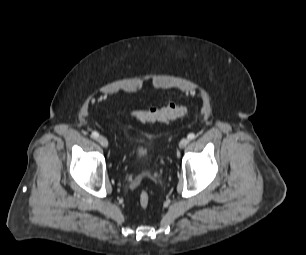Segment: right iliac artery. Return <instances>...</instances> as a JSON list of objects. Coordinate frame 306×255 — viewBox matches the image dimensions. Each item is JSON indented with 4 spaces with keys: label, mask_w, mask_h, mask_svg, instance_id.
<instances>
[{
    "label": "right iliac artery",
    "mask_w": 306,
    "mask_h": 255,
    "mask_svg": "<svg viewBox=\"0 0 306 255\" xmlns=\"http://www.w3.org/2000/svg\"><path fill=\"white\" fill-rule=\"evenodd\" d=\"M91 136L94 138V139H97L99 137V133L94 131L92 132Z\"/></svg>",
    "instance_id": "1"
}]
</instances>
